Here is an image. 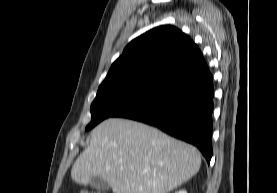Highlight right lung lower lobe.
Returning a JSON list of instances; mask_svg holds the SVG:
<instances>
[{
	"instance_id": "1",
	"label": "right lung lower lobe",
	"mask_w": 277,
	"mask_h": 193,
	"mask_svg": "<svg viewBox=\"0 0 277 193\" xmlns=\"http://www.w3.org/2000/svg\"><path fill=\"white\" fill-rule=\"evenodd\" d=\"M213 76L205 65L177 78L114 117L155 126L212 157Z\"/></svg>"
}]
</instances>
